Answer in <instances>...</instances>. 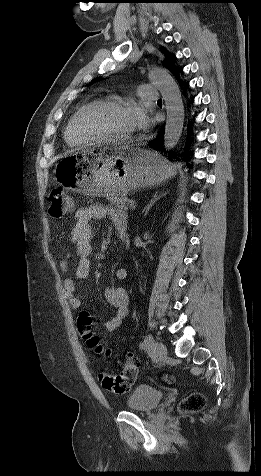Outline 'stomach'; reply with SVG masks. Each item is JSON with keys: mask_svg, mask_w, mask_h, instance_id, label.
I'll return each instance as SVG.
<instances>
[{"mask_svg": "<svg viewBox=\"0 0 261 476\" xmlns=\"http://www.w3.org/2000/svg\"><path fill=\"white\" fill-rule=\"evenodd\" d=\"M175 174L176 169L155 152L133 146L111 149L110 144L63 156L62 164H57V178L66 190L112 198L161 184Z\"/></svg>", "mask_w": 261, "mask_h": 476, "instance_id": "1", "label": "stomach"}]
</instances>
